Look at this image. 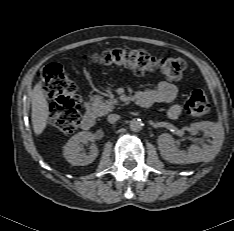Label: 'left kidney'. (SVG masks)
Returning <instances> with one entry per match:
<instances>
[{
	"label": "left kidney",
	"mask_w": 234,
	"mask_h": 231,
	"mask_svg": "<svg viewBox=\"0 0 234 231\" xmlns=\"http://www.w3.org/2000/svg\"><path fill=\"white\" fill-rule=\"evenodd\" d=\"M203 131L213 140H208L209 144H203L201 147L191 145L188 152L179 151L176 147L174 138L167 133L161 134L158 139V148L163 159L175 164L196 163L215 157L220 151L224 141V129L222 125L209 121L196 122L190 125V132L197 134Z\"/></svg>",
	"instance_id": "5707ae66"
}]
</instances>
